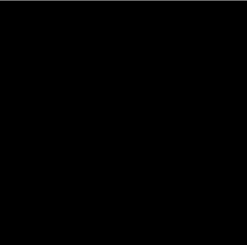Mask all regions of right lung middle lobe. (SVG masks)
Instances as JSON below:
<instances>
[{
    "mask_svg": "<svg viewBox=\"0 0 247 245\" xmlns=\"http://www.w3.org/2000/svg\"><path fill=\"white\" fill-rule=\"evenodd\" d=\"M54 80H55V78H53V77L46 78V79H44L42 81V83L40 84V87L45 88L50 83H52ZM110 83L122 84V82L116 81V80H110V81L101 80V81L97 82L94 86L100 87V86L107 85V84H110Z\"/></svg>",
    "mask_w": 247,
    "mask_h": 245,
    "instance_id": "obj_1",
    "label": "right lung middle lobe"
}]
</instances>
